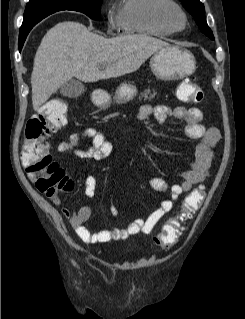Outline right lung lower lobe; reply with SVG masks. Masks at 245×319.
I'll list each match as a JSON object with an SVG mask.
<instances>
[{
	"label": "right lung lower lobe",
	"instance_id": "obj_1",
	"mask_svg": "<svg viewBox=\"0 0 245 319\" xmlns=\"http://www.w3.org/2000/svg\"><path fill=\"white\" fill-rule=\"evenodd\" d=\"M32 28L33 27L25 29V30H20V34H19V49L20 50L22 49L24 41Z\"/></svg>",
	"mask_w": 245,
	"mask_h": 319
}]
</instances>
